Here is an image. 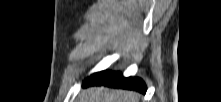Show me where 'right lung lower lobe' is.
<instances>
[{"instance_id": "right-lung-lower-lobe-1", "label": "right lung lower lobe", "mask_w": 221, "mask_h": 102, "mask_svg": "<svg viewBox=\"0 0 221 102\" xmlns=\"http://www.w3.org/2000/svg\"><path fill=\"white\" fill-rule=\"evenodd\" d=\"M92 85L114 86L124 89H133L141 93L146 92V85L140 78H124L120 72L102 71L88 77L83 87Z\"/></svg>"}]
</instances>
